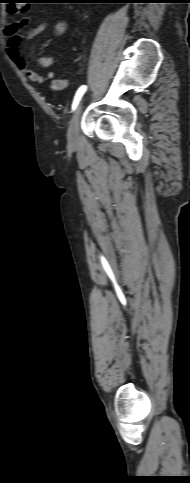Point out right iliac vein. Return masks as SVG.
<instances>
[{
  "mask_svg": "<svg viewBox=\"0 0 190 483\" xmlns=\"http://www.w3.org/2000/svg\"><path fill=\"white\" fill-rule=\"evenodd\" d=\"M83 103H84V99H82L78 104L73 114V117L71 119L70 127L68 130V141L71 144H75L77 142L78 130H79V119H80Z\"/></svg>",
  "mask_w": 190,
  "mask_h": 483,
  "instance_id": "1",
  "label": "right iliac vein"
}]
</instances>
